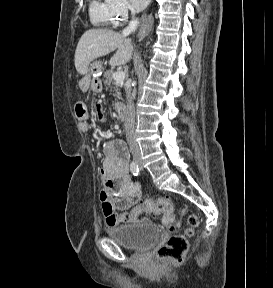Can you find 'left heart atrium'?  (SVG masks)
Wrapping results in <instances>:
<instances>
[{
    "mask_svg": "<svg viewBox=\"0 0 273 288\" xmlns=\"http://www.w3.org/2000/svg\"><path fill=\"white\" fill-rule=\"evenodd\" d=\"M150 0H131L133 6L136 8V9H143L145 8L148 3H149Z\"/></svg>",
    "mask_w": 273,
    "mask_h": 288,
    "instance_id": "left-heart-atrium-1",
    "label": "left heart atrium"
}]
</instances>
